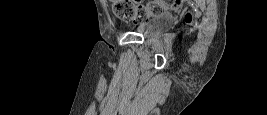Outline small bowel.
Segmentation results:
<instances>
[{"mask_svg": "<svg viewBox=\"0 0 267 115\" xmlns=\"http://www.w3.org/2000/svg\"><path fill=\"white\" fill-rule=\"evenodd\" d=\"M161 5H163V7H165L166 9H177L179 6V2L178 1H167V2H163Z\"/></svg>", "mask_w": 267, "mask_h": 115, "instance_id": "c3829d8e", "label": "small bowel"}]
</instances>
